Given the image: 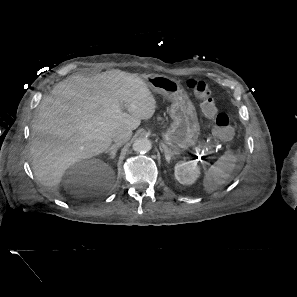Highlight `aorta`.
Returning <instances> with one entry per match:
<instances>
[{
    "label": "aorta",
    "mask_w": 297,
    "mask_h": 297,
    "mask_svg": "<svg viewBox=\"0 0 297 297\" xmlns=\"http://www.w3.org/2000/svg\"><path fill=\"white\" fill-rule=\"evenodd\" d=\"M151 141L147 138H139L134 141L132 148L136 153L144 154L151 150Z\"/></svg>",
    "instance_id": "762f6f07"
}]
</instances>
